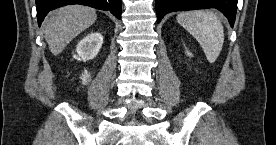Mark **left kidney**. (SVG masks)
Here are the masks:
<instances>
[{"label": "left kidney", "mask_w": 276, "mask_h": 145, "mask_svg": "<svg viewBox=\"0 0 276 145\" xmlns=\"http://www.w3.org/2000/svg\"><path fill=\"white\" fill-rule=\"evenodd\" d=\"M187 55L192 56V54L190 52H188V51H187Z\"/></svg>", "instance_id": "left-kidney-1"}]
</instances>
